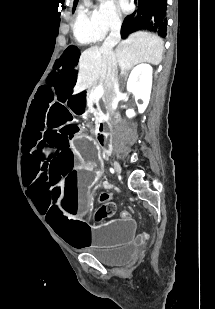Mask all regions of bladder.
Masks as SVG:
<instances>
[{
	"instance_id": "31cf9c89",
	"label": "bladder",
	"mask_w": 215,
	"mask_h": 309,
	"mask_svg": "<svg viewBox=\"0 0 215 309\" xmlns=\"http://www.w3.org/2000/svg\"><path fill=\"white\" fill-rule=\"evenodd\" d=\"M134 245L128 244L120 247L114 252L97 255V258L104 264L110 266H122L129 263L135 256Z\"/></svg>"
}]
</instances>
